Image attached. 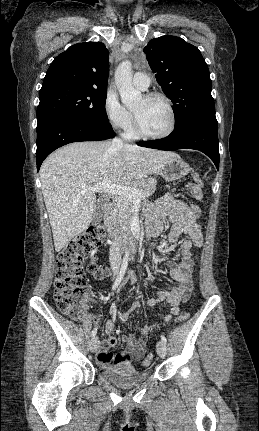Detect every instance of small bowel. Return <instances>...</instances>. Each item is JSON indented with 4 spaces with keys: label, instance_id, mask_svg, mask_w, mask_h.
<instances>
[{
    "label": "small bowel",
    "instance_id": "obj_1",
    "mask_svg": "<svg viewBox=\"0 0 259 431\" xmlns=\"http://www.w3.org/2000/svg\"><path fill=\"white\" fill-rule=\"evenodd\" d=\"M190 211L189 205L166 194L155 202L146 217V233L150 237L158 235L166 222L173 224L168 237L170 245L177 243L182 234L188 235V238L181 242L180 261L178 263L168 262L170 276L177 282V285L169 290L159 291L156 297L148 301L149 307L160 302L169 304L171 312L165 317V322L171 321L179 314L180 303L187 301L193 292V269L197 257L192 252V248L202 245L203 235L198 219H192ZM150 330L149 326L142 327L139 339H135L132 335H123L122 341L126 344V349L114 353L110 350L117 343L114 335V322L108 321L104 328L107 338L99 343L97 353L99 364L104 367H114L130 365L132 362L139 361L144 355L145 343Z\"/></svg>",
    "mask_w": 259,
    "mask_h": 431
}]
</instances>
